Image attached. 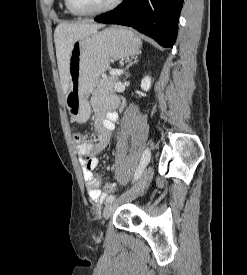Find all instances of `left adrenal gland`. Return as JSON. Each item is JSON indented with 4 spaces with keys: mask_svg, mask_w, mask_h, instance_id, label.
<instances>
[{
    "mask_svg": "<svg viewBox=\"0 0 247 275\" xmlns=\"http://www.w3.org/2000/svg\"><path fill=\"white\" fill-rule=\"evenodd\" d=\"M137 60L133 61V62H130L128 65H126L125 69L123 70V72L128 69L131 65H133L134 63H136Z\"/></svg>",
    "mask_w": 247,
    "mask_h": 275,
    "instance_id": "1",
    "label": "left adrenal gland"
}]
</instances>
